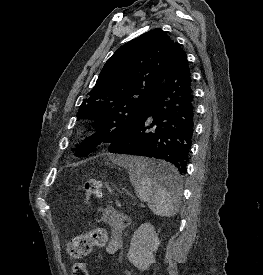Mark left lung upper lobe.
<instances>
[{
	"instance_id": "left-lung-upper-lobe-1",
	"label": "left lung upper lobe",
	"mask_w": 263,
	"mask_h": 275,
	"mask_svg": "<svg viewBox=\"0 0 263 275\" xmlns=\"http://www.w3.org/2000/svg\"><path fill=\"white\" fill-rule=\"evenodd\" d=\"M179 49L178 43L156 28L116 50L79 108L77 119L92 120L96 134L74 149L77 157H85L102 142L111 144L134 129Z\"/></svg>"
}]
</instances>
